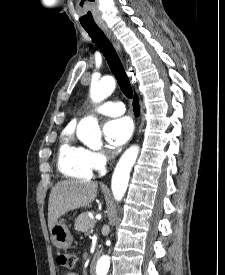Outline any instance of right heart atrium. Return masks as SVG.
Here are the masks:
<instances>
[{"mask_svg":"<svg viewBox=\"0 0 225 275\" xmlns=\"http://www.w3.org/2000/svg\"><path fill=\"white\" fill-rule=\"evenodd\" d=\"M85 154L87 161L93 170H103L109 161L107 154L102 151L85 149Z\"/></svg>","mask_w":225,"mask_h":275,"instance_id":"d8ad5b80","label":"right heart atrium"}]
</instances>
